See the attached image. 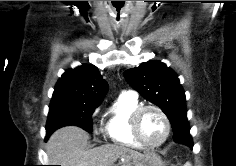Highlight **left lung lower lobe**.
<instances>
[{
    "label": "left lung lower lobe",
    "instance_id": "0a47b994",
    "mask_svg": "<svg viewBox=\"0 0 236 166\" xmlns=\"http://www.w3.org/2000/svg\"><path fill=\"white\" fill-rule=\"evenodd\" d=\"M171 125L174 132V141L177 143L188 145L192 148L193 141L188 125L183 123L182 121L171 122Z\"/></svg>",
    "mask_w": 236,
    "mask_h": 166
}]
</instances>
